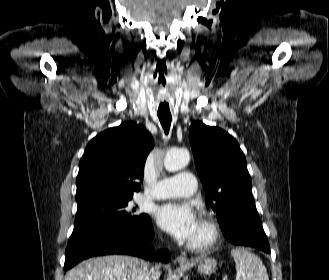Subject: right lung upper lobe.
Segmentation results:
<instances>
[{"label":"right lung upper lobe","mask_w":329,"mask_h":280,"mask_svg":"<svg viewBox=\"0 0 329 280\" xmlns=\"http://www.w3.org/2000/svg\"><path fill=\"white\" fill-rule=\"evenodd\" d=\"M154 142L141 124L129 121L101 132L86 146L79 163L76 199L91 195L133 197L141 188L144 165Z\"/></svg>","instance_id":"1"}]
</instances>
